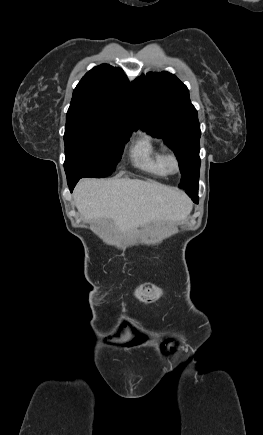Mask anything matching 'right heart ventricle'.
Returning a JSON list of instances; mask_svg holds the SVG:
<instances>
[{
	"label": "right heart ventricle",
	"instance_id": "e07e8e85",
	"mask_svg": "<svg viewBox=\"0 0 263 435\" xmlns=\"http://www.w3.org/2000/svg\"><path fill=\"white\" fill-rule=\"evenodd\" d=\"M163 149L148 134L139 137L130 148L133 165L156 177H165L168 171L164 164Z\"/></svg>",
	"mask_w": 263,
	"mask_h": 435
}]
</instances>
